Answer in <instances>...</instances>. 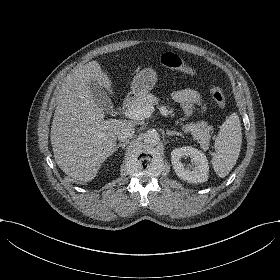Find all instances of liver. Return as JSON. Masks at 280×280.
<instances>
[{
  "instance_id": "liver-1",
  "label": "liver",
  "mask_w": 280,
  "mask_h": 280,
  "mask_svg": "<svg viewBox=\"0 0 280 280\" xmlns=\"http://www.w3.org/2000/svg\"><path fill=\"white\" fill-rule=\"evenodd\" d=\"M91 83L111 91L110 79L95 60L66 76L56 95L50 136L58 166L82 182L91 181L113 154L119 128L138 124L133 120H104L103 109L91 94Z\"/></svg>"
}]
</instances>
